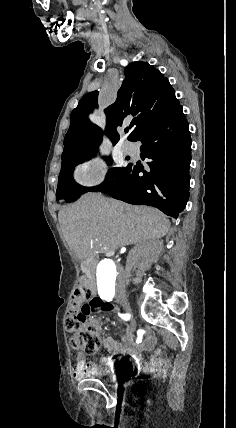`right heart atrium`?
<instances>
[{
  "instance_id": "1",
  "label": "right heart atrium",
  "mask_w": 236,
  "mask_h": 428,
  "mask_svg": "<svg viewBox=\"0 0 236 428\" xmlns=\"http://www.w3.org/2000/svg\"><path fill=\"white\" fill-rule=\"evenodd\" d=\"M75 181L84 187H94L106 180V171L102 162L91 160L79 164L74 172Z\"/></svg>"
}]
</instances>
